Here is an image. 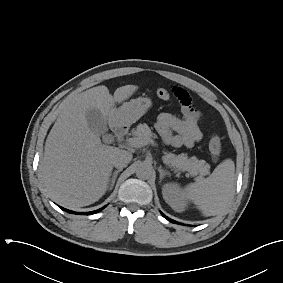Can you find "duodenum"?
<instances>
[{"mask_svg":"<svg viewBox=\"0 0 283 283\" xmlns=\"http://www.w3.org/2000/svg\"><path fill=\"white\" fill-rule=\"evenodd\" d=\"M113 132L118 139H123L128 132V128L124 124H115Z\"/></svg>","mask_w":283,"mask_h":283,"instance_id":"1","label":"duodenum"}]
</instances>
